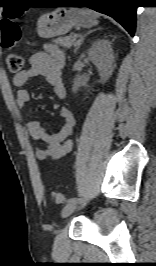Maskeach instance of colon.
<instances>
[{
  "instance_id": "5ec220e1",
  "label": "colon",
  "mask_w": 156,
  "mask_h": 266,
  "mask_svg": "<svg viewBox=\"0 0 156 266\" xmlns=\"http://www.w3.org/2000/svg\"><path fill=\"white\" fill-rule=\"evenodd\" d=\"M21 14L22 12H16L3 19L1 23L3 47L12 48L19 43L21 39V29L16 23V19H18ZM6 64L10 72L19 73L23 68V58L18 54H9L6 58ZM52 197L58 204L65 202V197L60 192H52Z\"/></svg>"
}]
</instances>
